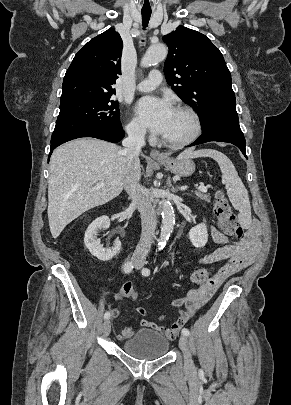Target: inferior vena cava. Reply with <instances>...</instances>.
Returning <instances> with one entry per match:
<instances>
[{
	"instance_id": "1",
	"label": "inferior vena cava",
	"mask_w": 291,
	"mask_h": 405,
	"mask_svg": "<svg viewBox=\"0 0 291 405\" xmlns=\"http://www.w3.org/2000/svg\"><path fill=\"white\" fill-rule=\"evenodd\" d=\"M128 137L122 141L124 149L122 155L126 161V176L124 188L132 199L141 215L142 233L132 261L144 262L150 250L156 228V214L151 200L145 189L139 184L141 172L135 160L141 148L145 145V131L138 127L127 130Z\"/></svg>"
}]
</instances>
